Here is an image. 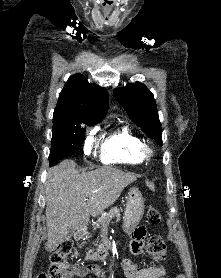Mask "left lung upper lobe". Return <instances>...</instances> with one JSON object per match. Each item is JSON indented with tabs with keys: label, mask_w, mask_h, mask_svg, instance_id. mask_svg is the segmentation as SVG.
<instances>
[{
	"label": "left lung upper lobe",
	"mask_w": 221,
	"mask_h": 278,
	"mask_svg": "<svg viewBox=\"0 0 221 278\" xmlns=\"http://www.w3.org/2000/svg\"><path fill=\"white\" fill-rule=\"evenodd\" d=\"M114 95L129 117L150 138L162 146V131L153 94L148 88L136 82L114 90Z\"/></svg>",
	"instance_id": "obj_1"
}]
</instances>
